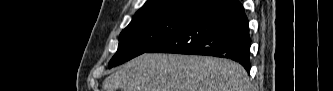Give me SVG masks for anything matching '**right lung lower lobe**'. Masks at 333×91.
<instances>
[{"mask_svg": "<svg viewBox=\"0 0 333 91\" xmlns=\"http://www.w3.org/2000/svg\"><path fill=\"white\" fill-rule=\"evenodd\" d=\"M248 20L238 0H218L147 53L229 58L250 72Z\"/></svg>", "mask_w": 333, "mask_h": 91, "instance_id": "obj_1", "label": "right lung lower lobe"}]
</instances>
